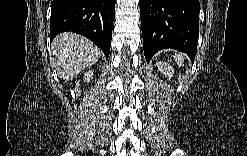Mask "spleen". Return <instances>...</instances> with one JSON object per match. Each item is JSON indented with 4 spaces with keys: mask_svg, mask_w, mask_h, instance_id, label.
I'll list each match as a JSON object with an SVG mask.
<instances>
[{
    "mask_svg": "<svg viewBox=\"0 0 247 156\" xmlns=\"http://www.w3.org/2000/svg\"><path fill=\"white\" fill-rule=\"evenodd\" d=\"M173 58L177 62L178 65L184 66V57L181 53L174 52Z\"/></svg>",
    "mask_w": 247,
    "mask_h": 156,
    "instance_id": "spleen-1",
    "label": "spleen"
}]
</instances>
